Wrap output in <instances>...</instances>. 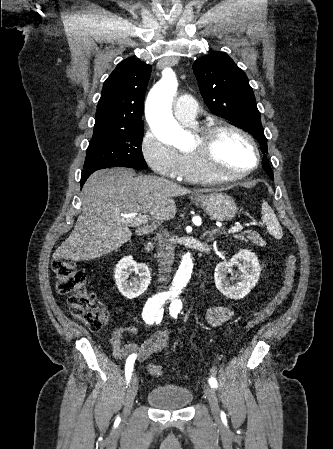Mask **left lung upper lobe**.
<instances>
[{
  "mask_svg": "<svg viewBox=\"0 0 333 449\" xmlns=\"http://www.w3.org/2000/svg\"><path fill=\"white\" fill-rule=\"evenodd\" d=\"M193 70L210 111L251 133L259 142L261 151L267 153L260 112L246 74L224 52L197 59ZM267 174L274 179L273 173Z\"/></svg>",
  "mask_w": 333,
  "mask_h": 449,
  "instance_id": "obj_1",
  "label": "left lung upper lobe"
}]
</instances>
